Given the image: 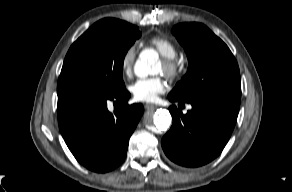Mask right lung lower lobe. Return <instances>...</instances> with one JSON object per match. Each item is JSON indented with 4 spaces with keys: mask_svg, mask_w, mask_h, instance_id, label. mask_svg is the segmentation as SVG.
I'll list each match as a JSON object with an SVG mask.
<instances>
[{
    "mask_svg": "<svg viewBox=\"0 0 292 192\" xmlns=\"http://www.w3.org/2000/svg\"><path fill=\"white\" fill-rule=\"evenodd\" d=\"M60 132L79 163L94 172H108L125 159L129 138L142 114V104L128 105L130 93L115 94L65 85L57 88ZM122 105L113 113L107 103Z\"/></svg>",
    "mask_w": 292,
    "mask_h": 192,
    "instance_id": "98d812e1",
    "label": "right lung lower lobe"
}]
</instances>
